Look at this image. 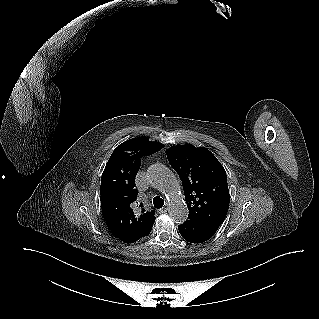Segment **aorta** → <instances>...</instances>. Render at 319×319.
I'll list each match as a JSON object with an SVG mask.
<instances>
[{
    "label": "aorta",
    "instance_id": "762f6f07",
    "mask_svg": "<svg viewBox=\"0 0 319 319\" xmlns=\"http://www.w3.org/2000/svg\"><path fill=\"white\" fill-rule=\"evenodd\" d=\"M147 175L152 185L166 194L171 219L176 223L184 222L188 217V209L182 200L180 186L170 169L162 164H154L148 169Z\"/></svg>",
    "mask_w": 319,
    "mask_h": 319
}]
</instances>
